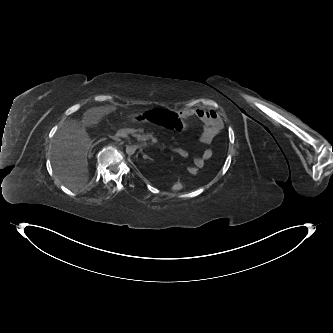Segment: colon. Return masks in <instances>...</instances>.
Listing matches in <instances>:
<instances>
[{
	"instance_id": "colon-1",
	"label": "colon",
	"mask_w": 333,
	"mask_h": 333,
	"mask_svg": "<svg viewBox=\"0 0 333 333\" xmlns=\"http://www.w3.org/2000/svg\"><path fill=\"white\" fill-rule=\"evenodd\" d=\"M146 121L150 125L159 124L163 129H174L182 130L184 125L180 122L179 117L172 111H163L158 110L157 108H150L144 114L142 112H135L133 115H127L125 117V124L127 126H134L136 123H142ZM187 172L190 175H193L196 172V169L193 166H190L187 169Z\"/></svg>"
}]
</instances>
